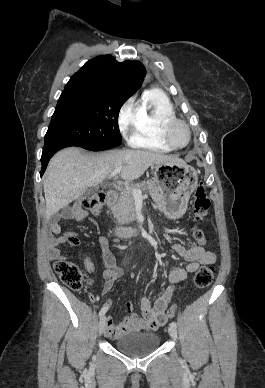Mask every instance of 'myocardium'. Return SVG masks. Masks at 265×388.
<instances>
[{
	"label": "myocardium",
	"instance_id": "f54148a6",
	"mask_svg": "<svg viewBox=\"0 0 265 388\" xmlns=\"http://www.w3.org/2000/svg\"><path fill=\"white\" fill-rule=\"evenodd\" d=\"M177 125L183 127L185 130H188L186 123L183 120L177 119L175 117H171L168 120H166L163 127V135L165 140L168 142L170 146L176 147V148L181 147V146H178L172 138V130L174 126H177Z\"/></svg>",
	"mask_w": 265,
	"mask_h": 388
}]
</instances>
